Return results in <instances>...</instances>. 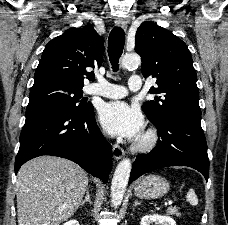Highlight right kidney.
<instances>
[{"label":"right kidney","mask_w":228,"mask_h":225,"mask_svg":"<svg viewBox=\"0 0 228 225\" xmlns=\"http://www.w3.org/2000/svg\"><path fill=\"white\" fill-rule=\"evenodd\" d=\"M64 225H79L78 221H74V219H72V221H67V223H64Z\"/></svg>","instance_id":"1"}]
</instances>
